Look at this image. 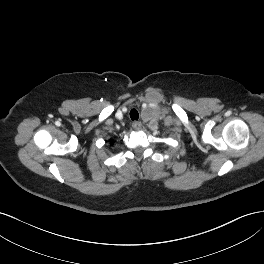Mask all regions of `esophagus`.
Instances as JSON below:
<instances>
[{
  "label": "esophagus",
  "instance_id": "1",
  "mask_svg": "<svg viewBox=\"0 0 264 264\" xmlns=\"http://www.w3.org/2000/svg\"><path fill=\"white\" fill-rule=\"evenodd\" d=\"M132 127H133L135 130H140L141 127H142V124H141V122H137V121H135V122L132 123Z\"/></svg>",
  "mask_w": 264,
  "mask_h": 264
}]
</instances>
